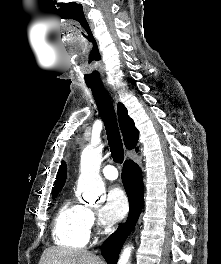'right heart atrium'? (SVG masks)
<instances>
[{"label":"right heart atrium","mask_w":221,"mask_h":264,"mask_svg":"<svg viewBox=\"0 0 221 264\" xmlns=\"http://www.w3.org/2000/svg\"><path fill=\"white\" fill-rule=\"evenodd\" d=\"M88 223H89L90 228L95 227L97 224L95 216L91 211H88Z\"/></svg>","instance_id":"1"}]
</instances>
